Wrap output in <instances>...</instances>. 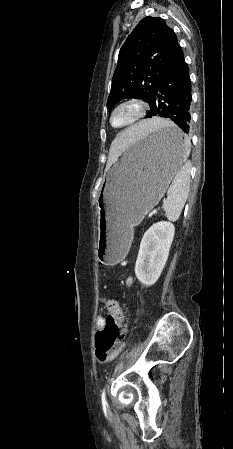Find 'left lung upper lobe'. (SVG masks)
Here are the masks:
<instances>
[{
  "label": "left lung upper lobe",
  "mask_w": 233,
  "mask_h": 449,
  "mask_svg": "<svg viewBox=\"0 0 233 449\" xmlns=\"http://www.w3.org/2000/svg\"><path fill=\"white\" fill-rule=\"evenodd\" d=\"M182 53L176 34L162 18H143L120 49L108 110L128 97L142 98L151 106L158 82Z\"/></svg>",
  "instance_id": "5c2ea615"
}]
</instances>
